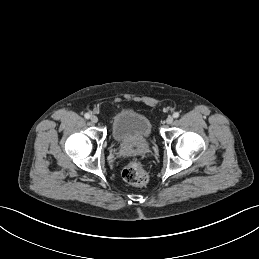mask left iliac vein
<instances>
[{
	"instance_id": "1",
	"label": "left iliac vein",
	"mask_w": 259,
	"mask_h": 259,
	"mask_svg": "<svg viewBox=\"0 0 259 259\" xmlns=\"http://www.w3.org/2000/svg\"><path fill=\"white\" fill-rule=\"evenodd\" d=\"M173 122V117L172 116H168L166 119V123L167 124H171Z\"/></svg>"
}]
</instances>
